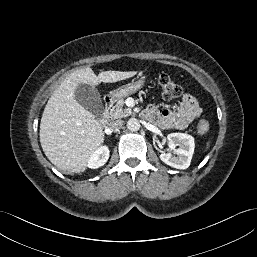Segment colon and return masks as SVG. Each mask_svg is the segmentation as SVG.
Listing matches in <instances>:
<instances>
[{
    "instance_id": "5ec220e1",
    "label": "colon",
    "mask_w": 257,
    "mask_h": 257,
    "mask_svg": "<svg viewBox=\"0 0 257 257\" xmlns=\"http://www.w3.org/2000/svg\"><path fill=\"white\" fill-rule=\"evenodd\" d=\"M158 83L161 93L166 99H174L181 95L182 89L176 84L169 75L161 73L158 77ZM197 129L200 133H206L209 130V123L202 120L198 123Z\"/></svg>"
}]
</instances>
